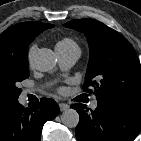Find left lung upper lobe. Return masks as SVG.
Returning a JSON list of instances; mask_svg holds the SVG:
<instances>
[{
	"label": "left lung upper lobe",
	"mask_w": 141,
	"mask_h": 141,
	"mask_svg": "<svg viewBox=\"0 0 141 141\" xmlns=\"http://www.w3.org/2000/svg\"><path fill=\"white\" fill-rule=\"evenodd\" d=\"M85 34L90 59L83 88H94L98 101H115L141 106V65L128 40L94 19L64 24Z\"/></svg>",
	"instance_id": "5c2ea615"
}]
</instances>
